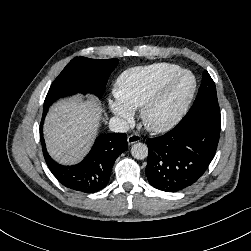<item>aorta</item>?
Here are the masks:
<instances>
[{
    "instance_id": "aorta-1",
    "label": "aorta",
    "mask_w": 251,
    "mask_h": 251,
    "mask_svg": "<svg viewBox=\"0 0 251 251\" xmlns=\"http://www.w3.org/2000/svg\"><path fill=\"white\" fill-rule=\"evenodd\" d=\"M131 154L136 159H145L148 156V147L143 143H135L131 147Z\"/></svg>"
}]
</instances>
